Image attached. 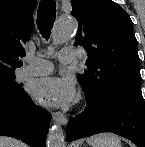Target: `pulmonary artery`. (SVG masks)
<instances>
[{
    "label": "pulmonary artery",
    "instance_id": "e3ab8cb5",
    "mask_svg": "<svg viewBox=\"0 0 145 147\" xmlns=\"http://www.w3.org/2000/svg\"><path fill=\"white\" fill-rule=\"evenodd\" d=\"M77 57V52L72 49H63L58 54V60L61 64H69ZM27 66L22 69L24 76L46 75L52 72L51 62L40 58H27Z\"/></svg>",
    "mask_w": 145,
    "mask_h": 147
}]
</instances>
